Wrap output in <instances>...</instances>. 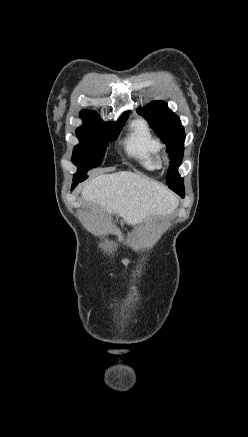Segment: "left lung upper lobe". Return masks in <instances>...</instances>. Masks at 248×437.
<instances>
[{
    "label": "left lung upper lobe",
    "instance_id": "obj_1",
    "mask_svg": "<svg viewBox=\"0 0 248 437\" xmlns=\"http://www.w3.org/2000/svg\"><path fill=\"white\" fill-rule=\"evenodd\" d=\"M137 113L150 123L157 135L166 143L170 153L167 185L184 197L183 178L178 174V167L183 158L185 133L179 117L169 110L163 101H154L143 108L140 107Z\"/></svg>",
    "mask_w": 248,
    "mask_h": 437
}]
</instances>
